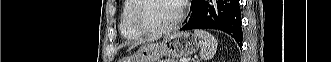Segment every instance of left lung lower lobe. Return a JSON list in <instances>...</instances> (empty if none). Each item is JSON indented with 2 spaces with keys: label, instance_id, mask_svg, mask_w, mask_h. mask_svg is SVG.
<instances>
[{
  "label": "left lung lower lobe",
  "instance_id": "left-lung-lower-lobe-1",
  "mask_svg": "<svg viewBox=\"0 0 331 62\" xmlns=\"http://www.w3.org/2000/svg\"><path fill=\"white\" fill-rule=\"evenodd\" d=\"M191 16L180 30L217 29L230 34L242 46L239 0H192Z\"/></svg>",
  "mask_w": 331,
  "mask_h": 62
}]
</instances>
